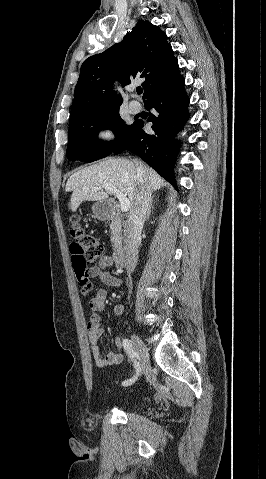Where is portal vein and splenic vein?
<instances>
[{"label": "portal vein and splenic vein", "instance_id": "1", "mask_svg": "<svg viewBox=\"0 0 266 479\" xmlns=\"http://www.w3.org/2000/svg\"><path fill=\"white\" fill-rule=\"evenodd\" d=\"M100 189H105L106 191L116 195L120 202V209L122 212H127L130 209V201L126 197L125 194H123L121 191H119L116 187L105 184L102 187H94V190H100Z\"/></svg>", "mask_w": 266, "mask_h": 479}]
</instances>
